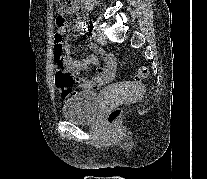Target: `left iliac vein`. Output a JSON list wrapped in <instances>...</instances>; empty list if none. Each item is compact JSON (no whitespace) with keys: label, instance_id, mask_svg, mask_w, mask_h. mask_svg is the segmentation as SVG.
<instances>
[{"label":"left iliac vein","instance_id":"4c4485c4","mask_svg":"<svg viewBox=\"0 0 207 179\" xmlns=\"http://www.w3.org/2000/svg\"><path fill=\"white\" fill-rule=\"evenodd\" d=\"M93 29H97V31L94 35L95 40L100 44L105 43L106 37L102 31V26L101 25L93 26Z\"/></svg>","mask_w":207,"mask_h":179}]
</instances>
